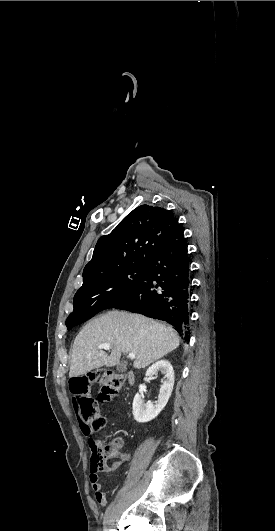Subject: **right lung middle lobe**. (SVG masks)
<instances>
[{
  "label": "right lung middle lobe",
  "mask_w": 275,
  "mask_h": 531,
  "mask_svg": "<svg viewBox=\"0 0 275 531\" xmlns=\"http://www.w3.org/2000/svg\"><path fill=\"white\" fill-rule=\"evenodd\" d=\"M146 266H131L105 273L86 284L74 296V311L68 316V330L98 312L123 302L142 280Z\"/></svg>",
  "instance_id": "1"
}]
</instances>
